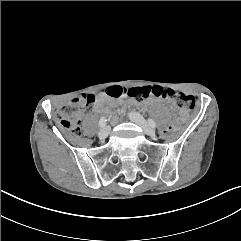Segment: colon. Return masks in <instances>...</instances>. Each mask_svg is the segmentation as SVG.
<instances>
[{"label": "colon", "mask_w": 241, "mask_h": 241, "mask_svg": "<svg viewBox=\"0 0 241 241\" xmlns=\"http://www.w3.org/2000/svg\"><path fill=\"white\" fill-rule=\"evenodd\" d=\"M151 96L168 99L175 102L180 108L192 111L196 107L193 96L175 92L172 89H166L161 86H141V87H121L113 86L103 91L99 98L111 97H131L135 99H147ZM98 100L95 95H80L72 99L67 105L61 107L56 113L58 123L73 135L80 134V116L86 108L94 105ZM178 129L176 122H171L166 127L160 129L162 136L172 134Z\"/></svg>", "instance_id": "5ec220e1"}]
</instances>
